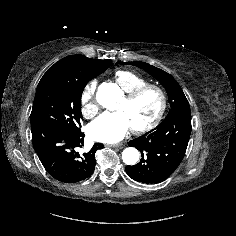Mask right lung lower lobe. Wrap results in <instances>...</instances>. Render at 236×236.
<instances>
[{
	"mask_svg": "<svg viewBox=\"0 0 236 236\" xmlns=\"http://www.w3.org/2000/svg\"><path fill=\"white\" fill-rule=\"evenodd\" d=\"M33 147L46 171L56 180L75 183L91 176L95 169V153L103 144L95 143L83 155L76 152L82 147L84 134L70 133L51 125H31Z\"/></svg>",
	"mask_w": 236,
	"mask_h": 236,
	"instance_id": "right-lung-lower-lobe-1",
	"label": "right lung lower lobe"
}]
</instances>
